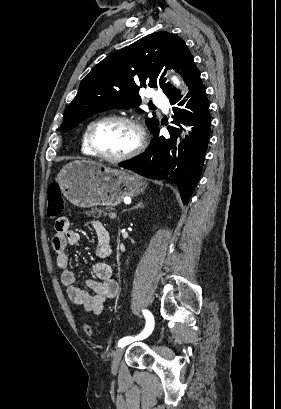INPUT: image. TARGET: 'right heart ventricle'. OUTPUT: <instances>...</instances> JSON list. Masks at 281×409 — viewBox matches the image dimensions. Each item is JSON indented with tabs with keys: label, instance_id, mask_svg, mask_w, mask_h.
<instances>
[{
	"label": "right heart ventricle",
	"instance_id": "e07e8e85",
	"mask_svg": "<svg viewBox=\"0 0 281 409\" xmlns=\"http://www.w3.org/2000/svg\"><path fill=\"white\" fill-rule=\"evenodd\" d=\"M97 120L89 122L84 130L81 140V152L86 156H94L90 146V135Z\"/></svg>",
	"mask_w": 281,
	"mask_h": 409
}]
</instances>
